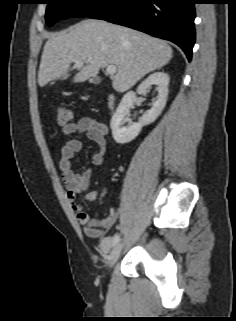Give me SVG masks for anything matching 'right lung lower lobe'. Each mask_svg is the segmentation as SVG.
Masks as SVG:
<instances>
[{
	"mask_svg": "<svg viewBox=\"0 0 236 321\" xmlns=\"http://www.w3.org/2000/svg\"><path fill=\"white\" fill-rule=\"evenodd\" d=\"M195 0H111L89 15L177 44L191 60L195 42Z\"/></svg>",
	"mask_w": 236,
	"mask_h": 321,
	"instance_id": "right-lung-lower-lobe-1",
	"label": "right lung lower lobe"
}]
</instances>
